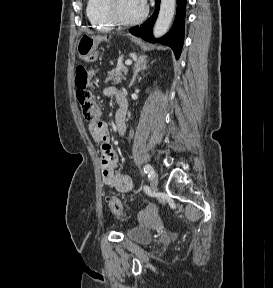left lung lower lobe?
I'll return each instance as SVG.
<instances>
[{"label":"left lung lower lobe","mask_w":273,"mask_h":288,"mask_svg":"<svg viewBox=\"0 0 273 288\" xmlns=\"http://www.w3.org/2000/svg\"><path fill=\"white\" fill-rule=\"evenodd\" d=\"M156 7L153 15L140 27L137 26L129 30L135 36H140L142 39L156 43L159 42L163 45L170 46L174 51L176 59L179 58L183 40H184V22H185V8L186 0H177V14L174 21V25L169 33L161 37L158 40H155L152 35V28L156 21L159 12L160 0H155Z\"/></svg>","instance_id":"1"}]
</instances>
